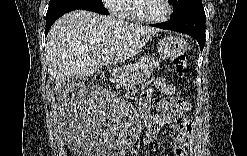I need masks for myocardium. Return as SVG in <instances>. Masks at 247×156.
<instances>
[{
  "instance_id": "f54148a6",
  "label": "myocardium",
  "mask_w": 247,
  "mask_h": 156,
  "mask_svg": "<svg viewBox=\"0 0 247 156\" xmlns=\"http://www.w3.org/2000/svg\"><path fill=\"white\" fill-rule=\"evenodd\" d=\"M166 8L165 13L159 17H145L138 13L136 8L137 1H131L129 3V13L135 21L146 24H158L167 21L172 14V6L168 0H162Z\"/></svg>"
}]
</instances>
